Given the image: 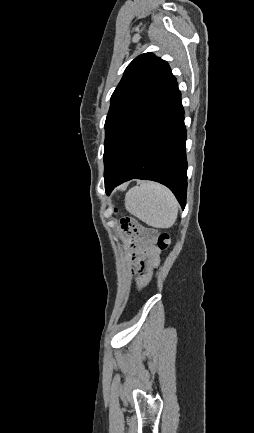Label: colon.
Here are the masks:
<instances>
[{
  "label": "colon",
  "instance_id": "1",
  "mask_svg": "<svg viewBox=\"0 0 254 433\" xmlns=\"http://www.w3.org/2000/svg\"><path fill=\"white\" fill-rule=\"evenodd\" d=\"M121 228L127 235L136 234L139 232H143L145 235H150L152 232L150 231H143L139 225V223L130 216H124L121 219ZM170 236L167 233H160L158 236V245L161 249H166L170 245Z\"/></svg>",
  "mask_w": 254,
  "mask_h": 433
}]
</instances>
